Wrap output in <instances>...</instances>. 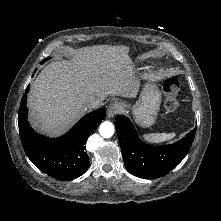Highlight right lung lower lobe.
Returning <instances> with one entry per match:
<instances>
[{
  "label": "right lung lower lobe",
  "mask_w": 221,
  "mask_h": 221,
  "mask_svg": "<svg viewBox=\"0 0 221 221\" xmlns=\"http://www.w3.org/2000/svg\"><path fill=\"white\" fill-rule=\"evenodd\" d=\"M29 85L19 108V132L23 149L34 165L58 180H71L83 175L89 167L85 143L97 125L104 120L105 109L85 115L68 133L59 138L37 134L27 121L26 99Z\"/></svg>",
  "instance_id": "98d812e1"
}]
</instances>
